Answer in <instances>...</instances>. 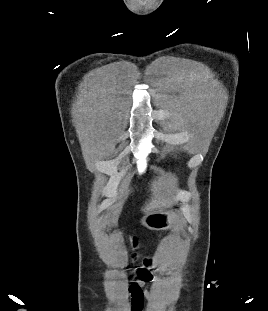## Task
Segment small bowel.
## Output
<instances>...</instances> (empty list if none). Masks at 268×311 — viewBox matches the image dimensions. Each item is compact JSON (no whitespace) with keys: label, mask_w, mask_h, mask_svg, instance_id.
I'll use <instances>...</instances> for the list:
<instances>
[{"label":"small bowel","mask_w":268,"mask_h":311,"mask_svg":"<svg viewBox=\"0 0 268 311\" xmlns=\"http://www.w3.org/2000/svg\"><path fill=\"white\" fill-rule=\"evenodd\" d=\"M131 311H141L145 302L158 307V301L152 296L151 290L144 281H138L129 286Z\"/></svg>","instance_id":"1"}]
</instances>
